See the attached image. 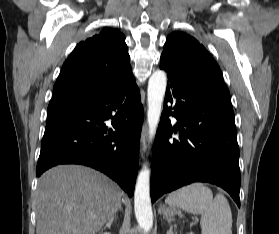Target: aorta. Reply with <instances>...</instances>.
<instances>
[{
    "label": "aorta",
    "instance_id": "aorta-1",
    "mask_svg": "<svg viewBox=\"0 0 279 234\" xmlns=\"http://www.w3.org/2000/svg\"><path fill=\"white\" fill-rule=\"evenodd\" d=\"M166 86V73L162 70L154 71L149 78L147 91V122L150 140L154 139L156 134ZM134 208L139 227L145 232H148L153 225V213L150 199V170L147 165L143 166L137 177L134 193Z\"/></svg>",
    "mask_w": 279,
    "mask_h": 234
}]
</instances>
